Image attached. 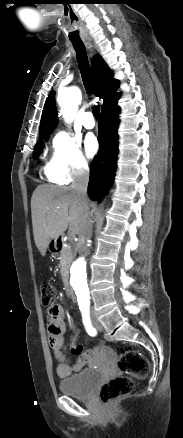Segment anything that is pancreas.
Instances as JSON below:
<instances>
[{"instance_id": "obj_1", "label": "pancreas", "mask_w": 183, "mask_h": 438, "mask_svg": "<svg viewBox=\"0 0 183 438\" xmlns=\"http://www.w3.org/2000/svg\"><path fill=\"white\" fill-rule=\"evenodd\" d=\"M75 255V251L71 246L64 247L61 250L60 255V268L62 273H64L70 266Z\"/></svg>"}]
</instances>
